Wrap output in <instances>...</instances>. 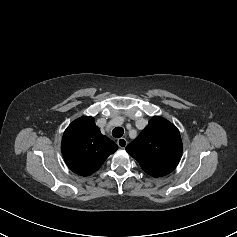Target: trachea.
Listing matches in <instances>:
<instances>
[{"instance_id": "trachea-1", "label": "trachea", "mask_w": 237, "mask_h": 237, "mask_svg": "<svg viewBox=\"0 0 237 237\" xmlns=\"http://www.w3.org/2000/svg\"><path fill=\"white\" fill-rule=\"evenodd\" d=\"M124 134V129L122 127H116L112 130V135L115 138H120Z\"/></svg>"}]
</instances>
